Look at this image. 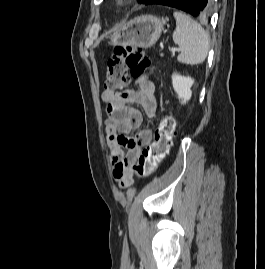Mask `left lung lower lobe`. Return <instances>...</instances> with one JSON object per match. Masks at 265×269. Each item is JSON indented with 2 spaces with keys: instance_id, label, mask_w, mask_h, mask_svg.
<instances>
[{
  "instance_id": "1",
  "label": "left lung lower lobe",
  "mask_w": 265,
  "mask_h": 269,
  "mask_svg": "<svg viewBox=\"0 0 265 269\" xmlns=\"http://www.w3.org/2000/svg\"><path fill=\"white\" fill-rule=\"evenodd\" d=\"M144 4L174 7L201 19L208 17L211 13L210 0H146Z\"/></svg>"
}]
</instances>
